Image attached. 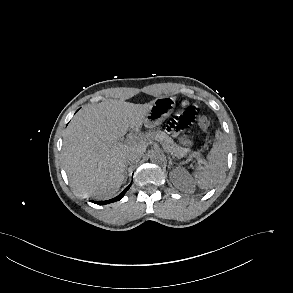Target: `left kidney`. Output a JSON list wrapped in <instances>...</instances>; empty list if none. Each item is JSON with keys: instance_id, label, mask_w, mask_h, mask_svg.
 Listing matches in <instances>:
<instances>
[{"instance_id": "1", "label": "left kidney", "mask_w": 293, "mask_h": 293, "mask_svg": "<svg viewBox=\"0 0 293 293\" xmlns=\"http://www.w3.org/2000/svg\"><path fill=\"white\" fill-rule=\"evenodd\" d=\"M170 179L175 187L180 190L193 191L195 186L188 172L181 167H177L170 174Z\"/></svg>"}]
</instances>
